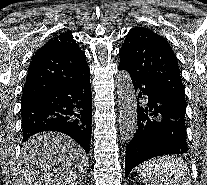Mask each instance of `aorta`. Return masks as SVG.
I'll list each match as a JSON object with an SVG mask.
<instances>
[{
    "instance_id": "1",
    "label": "aorta",
    "mask_w": 207,
    "mask_h": 185,
    "mask_svg": "<svg viewBox=\"0 0 207 185\" xmlns=\"http://www.w3.org/2000/svg\"><path fill=\"white\" fill-rule=\"evenodd\" d=\"M117 96L123 137L129 142L137 129V101L131 76L126 70L117 76Z\"/></svg>"
}]
</instances>
